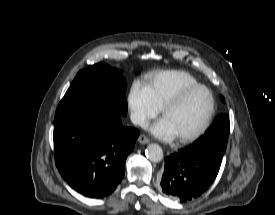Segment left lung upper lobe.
Segmentation results:
<instances>
[{"label": "left lung upper lobe", "instance_id": "obj_1", "mask_svg": "<svg viewBox=\"0 0 275 215\" xmlns=\"http://www.w3.org/2000/svg\"><path fill=\"white\" fill-rule=\"evenodd\" d=\"M220 98L224 101L222 96ZM229 129V116L218 115L207 132L196 143L186 148L187 152L221 164L227 146Z\"/></svg>", "mask_w": 275, "mask_h": 215}]
</instances>
